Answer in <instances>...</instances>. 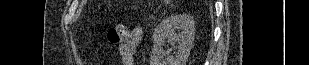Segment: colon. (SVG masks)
Returning a JSON list of instances; mask_svg holds the SVG:
<instances>
[{
    "instance_id": "colon-1",
    "label": "colon",
    "mask_w": 309,
    "mask_h": 65,
    "mask_svg": "<svg viewBox=\"0 0 309 65\" xmlns=\"http://www.w3.org/2000/svg\"><path fill=\"white\" fill-rule=\"evenodd\" d=\"M126 34V27L121 23L114 24L107 30V38L112 43L122 41L125 38Z\"/></svg>"
}]
</instances>
